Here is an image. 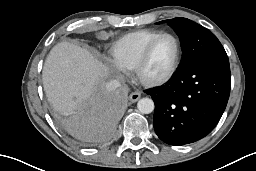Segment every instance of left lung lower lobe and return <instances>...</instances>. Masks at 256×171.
<instances>
[{
  "label": "left lung lower lobe",
  "instance_id": "1",
  "mask_svg": "<svg viewBox=\"0 0 256 171\" xmlns=\"http://www.w3.org/2000/svg\"><path fill=\"white\" fill-rule=\"evenodd\" d=\"M230 86L227 55L202 57L179 67L166 85L146 90L155 103L157 136L181 146L208 135L225 110Z\"/></svg>",
  "mask_w": 256,
  "mask_h": 171
}]
</instances>
